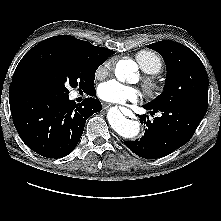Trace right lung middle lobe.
Listing matches in <instances>:
<instances>
[{
    "label": "right lung middle lobe",
    "mask_w": 221,
    "mask_h": 221,
    "mask_svg": "<svg viewBox=\"0 0 221 221\" xmlns=\"http://www.w3.org/2000/svg\"><path fill=\"white\" fill-rule=\"evenodd\" d=\"M98 67L65 48L42 45L21 59L14 75L21 85L66 96L69 87L93 88Z\"/></svg>",
    "instance_id": "1"
}]
</instances>
